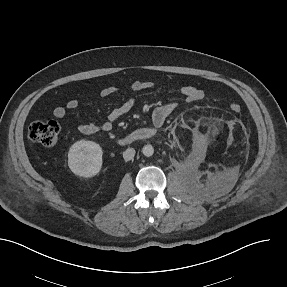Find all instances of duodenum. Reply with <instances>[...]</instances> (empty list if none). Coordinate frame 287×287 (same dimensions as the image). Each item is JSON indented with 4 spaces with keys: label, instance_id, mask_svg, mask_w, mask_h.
Here are the masks:
<instances>
[{
    "label": "duodenum",
    "instance_id": "1",
    "mask_svg": "<svg viewBox=\"0 0 287 287\" xmlns=\"http://www.w3.org/2000/svg\"><path fill=\"white\" fill-rule=\"evenodd\" d=\"M155 134H156V129L150 128V127H141V128L134 130L129 135L118 139V144L120 146H126L135 141L150 139L154 137Z\"/></svg>",
    "mask_w": 287,
    "mask_h": 287
}]
</instances>
